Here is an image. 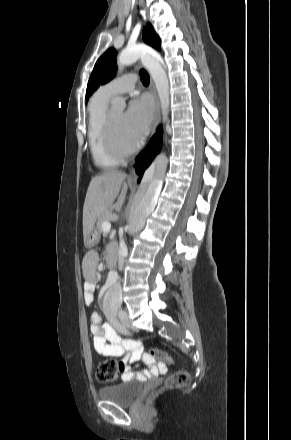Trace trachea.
Wrapping results in <instances>:
<instances>
[{
	"mask_svg": "<svg viewBox=\"0 0 291 440\" xmlns=\"http://www.w3.org/2000/svg\"><path fill=\"white\" fill-rule=\"evenodd\" d=\"M139 75L143 85L148 86L150 82V78L147 71H145L144 69H140Z\"/></svg>",
	"mask_w": 291,
	"mask_h": 440,
	"instance_id": "trachea-1",
	"label": "trachea"
}]
</instances>
